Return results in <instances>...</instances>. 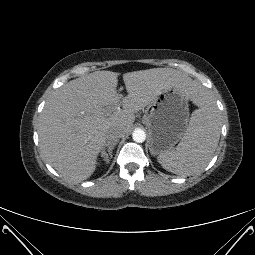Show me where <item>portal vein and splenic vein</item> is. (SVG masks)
I'll use <instances>...</instances> for the list:
<instances>
[{
    "instance_id": "18ae733b",
    "label": "portal vein and splenic vein",
    "mask_w": 255,
    "mask_h": 255,
    "mask_svg": "<svg viewBox=\"0 0 255 255\" xmlns=\"http://www.w3.org/2000/svg\"><path fill=\"white\" fill-rule=\"evenodd\" d=\"M113 109H114V107H113V106H112V107H111V106H109V107L107 108V110H106V111H107L108 113H110ZM117 109H120V108H119V107H117Z\"/></svg>"
}]
</instances>
